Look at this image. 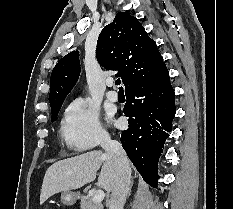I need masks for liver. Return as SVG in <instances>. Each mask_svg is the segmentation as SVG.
<instances>
[{
  "instance_id": "obj_1",
  "label": "liver",
  "mask_w": 233,
  "mask_h": 209,
  "mask_svg": "<svg viewBox=\"0 0 233 209\" xmlns=\"http://www.w3.org/2000/svg\"><path fill=\"white\" fill-rule=\"evenodd\" d=\"M100 167L98 185L107 192H111L116 173L114 161L108 154L94 150L55 162L46 170L40 204L54 194L76 190L94 181Z\"/></svg>"
}]
</instances>
